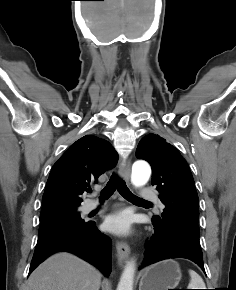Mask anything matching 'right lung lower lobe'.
I'll use <instances>...</instances> for the list:
<instances>
[{"mask_svg":"<svg viewBox=\"0 0 236 290\" xmlns=\"http://www.w3.org/2000/svg\"><path fill=\"white\" fill-rule=\"evenodd\" d=\"M104 249L106 257L102 259L99 257V251ZM111 250L110 238L101 233L93 221L53 230L38 236L29 274L53 253L68 251L97 266L104 275L108 276L112 269Z\"/></svg>","mask_w":236,"mask_h":290,"instance_id":"1","label":"right lung lower lobe"}]
</instances>
